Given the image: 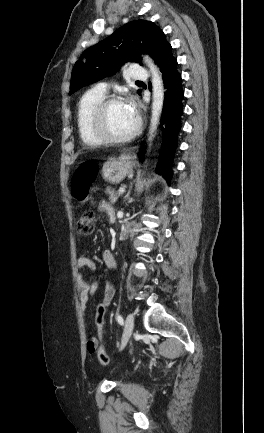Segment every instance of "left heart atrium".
I'll use <instances>...</instances> for the list:
<instances>
[{
	"label": "left heart atrium",
	"mask_w": 264,
	"mask_h": 433,
	"mask_svg": "<svg viewBox=\"0 0 264 433\" xmlns=\"http://www.w3.org/2000/svg\"><path fill=\"white\" fill-rule=\"evenodd\" d=\"M128 106H129L130 110L132 111V113L137 117V107H136L135 103L131 101L128 103Z\"/></svg>",
	"instance_id": "left-heart-atrium-1"
}]
</instances>
